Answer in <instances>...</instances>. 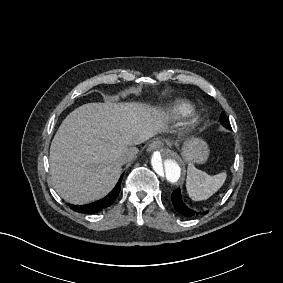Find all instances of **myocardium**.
<instances>
[{
    "mask_svg": "<svg viewBox=\"0 0 283 283\" xmlns=\"http://www.w3.org/2000/svg\"><path fill=\"white\" fill-rule=\"evenodd\" d=\"M187 135H177V136H178L179 139L183 140Z\"/></svg>",
    "mask_w": 283,
    "mask_h": 283,
    "instance_id": "1",
    "label": "myocardium"
}]
</instances>
